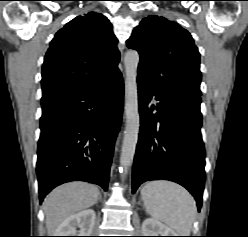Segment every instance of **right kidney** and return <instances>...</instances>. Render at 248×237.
I'll return each instance as SVG.
<instances>
[{
	"label": "right kidney",
	"mask_w": 248,
	"mask_h": 237,
	"mask_svg": "<svg viewBox=\"0 0 248 237\" xmlns=\"http://www.w3.org/2000/svg\"><path fill=\"white\" fill-rule=\"evenodd\" d=\"M96 214L92 209L83 210L66 218L57 228L55 236H90ZM76 227H79V234Z\"/></svg>",
	"instance_id": "1"
}]
</instances>
